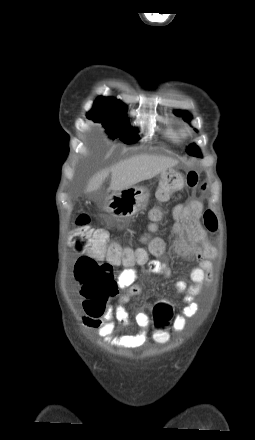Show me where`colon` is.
Here are the masks:
<instances>
[{
	"label": "colon",
	"instance_id": "5ec220e1",
	"mask_svg": "<svg viewBox=\"0 0 255 440\" xmlns=\"http://www.w3.org/2000/svg\"><path fill=\"white\" fill-rule=\"evenodd\" d=\"M198 181L199 175L194 170L188 171L185 175L168 172L161 180L156 197L158 201L165 202L169 200L173 192L184 185L194 188ZM150 216L154 223L161 219V213L158 210L152 211ZM217 224L215 213L207 209L204 212L205 227L209 231H215ZM107 240V232L92 227L87 215L78 216L70 231L71 247L82 254L75 263V278L81 286L85 313L92 318L100 317L105 313L108 299L117 291L112 274L113 267L120 264H133L143 257L140 249L123 247L118 243H108ZM147 241L152 251L158 253L161 248L160 243L149 239ZM154 304L155 331L152 340L157 342L158 347L163 348L170 339L168 329L174 308L168 298H155Z\"/></svg>",
	"mask_w": 255,
	"mask_h": 440
}]
</instances>
